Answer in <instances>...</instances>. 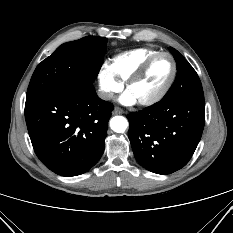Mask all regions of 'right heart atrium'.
I'll list each match as a JSON object with an SVG mask.
<instances>
[{
    "instance_id": "1",
    "label": "right heart atrium",
    "mask_w": 233,
    "mask_h": 233,
    "mask_svg": "<svg viewBox=\"0 0 233 233\" xmlns=\"http://www.w3.org/2000/svg\"><path fill=\"white\" fill-rule=\"evenodd\" d=\"M97 78L100 94L105 100H111L123 89V83L113 74L107 64L101 66Z\"/></svg>"
}]
</instances>
